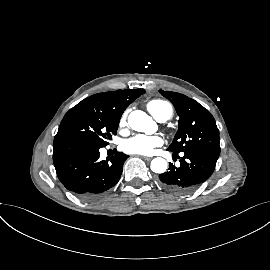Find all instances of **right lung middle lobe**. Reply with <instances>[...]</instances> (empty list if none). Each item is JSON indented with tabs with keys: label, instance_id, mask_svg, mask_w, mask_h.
<instances>
[{
	"label": "right lung middle lobe",
	"instance_id": "obj_1",
	"mask_svg": "<svg viewBox=\"0 0 270 270\" xmlns=\"http://www.w3.org/2000/svg\"><path fill=\"white\" fill-rule=\"evenodd\" d=\"M120 118L86 98L65 114L54 140L80 139L105 147L117 134Z\"/></svg>",
	"mask_w": 270,
	"mask_h": 270
}]
</instances>
